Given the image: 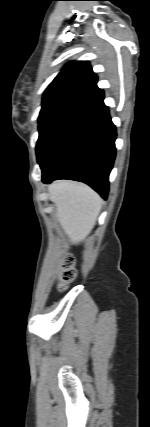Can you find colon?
Wrapping results in <instances>:
<instances>
[{
	"instance_id": "obj_1",
	"label": "colon",
	"mask_w": 150,
	"mask_h": 427,
	"mask_svg": "<svg viewBox=\"0 0 150 427\" xmlns=\"http://www.w3.org/2000/svg\"><path fill=\"white\" fill-rule=\"evenodd\" d=\"M76 276V272L73 267V259L69 257L66 261L65 269L61 274L60 281L58 284V289L63 291L66 289L67 285L70 284Z\"/></svg>"
}]
</instances>
